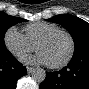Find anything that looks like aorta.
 Returning <instances> with one entry per match:
<instances>
[{
	"label": "aorta",
	"mask_w": 89,
	"mask_h": 89,
	"mask_svg": "<svg viewBox=\"0 0 89 89\" xmlns=\"http://www.w3.org/2000/svg\"><path fill=\"white\" fill-rule=\"evenodd\" d=\"M31 78L37 82V83H41L45 80L46 78V72L44 69L42 68H35L32 70L31 73Z\"/></svg>",
	"instance_id": "762f6f07"
}]
</instances>
